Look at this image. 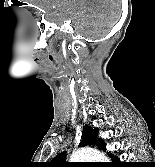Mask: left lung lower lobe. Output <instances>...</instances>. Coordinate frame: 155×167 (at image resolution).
Listing matches in <instances>:
<instances>
[{
  "label": "left lung lower lobe",
  "instance_id": "left-lung-lower-lobe-1",
  "mask_svg": "<svg viewBox=\"0 0 155 167\" xmlns=\"http://www.w3.org/2000/svg\"><path fill=\"white\" fill-rule=\"evenodd\" d=\"M112 162H111V167H120V161L117 157L111 155Z\"/></svg>",
  "mask_w": 155,
  "mask_h": 167
}]
</instances>
